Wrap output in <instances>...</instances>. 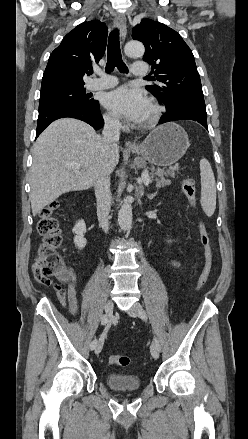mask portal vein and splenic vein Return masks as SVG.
<instances>
[{
  "label": "portal vein and splenic vein",
  "mask_w": 248,
  "mask_h": 439,
  "mask_svg": "<svg viewBox=\"0 0 248 439\" xmlns=\"http://www.w3.org/2000/svg\"><path fill=\"white\" fill-rule=\"evenodd\" d=\"M66 165L72 167L74 170H79L81 168V164L75 162H68L66 163ZM141 182H143L146 186L150 183V178L147 170L142 173Z\"/></svg>",
  "instance_id": "18ae733b"
}]
</instances>
